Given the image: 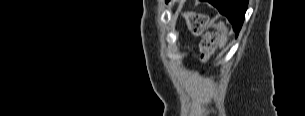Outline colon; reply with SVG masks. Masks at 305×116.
Masks as SVG:
<instances>
[{
	"mask_svg": "<svg viewBox=\"0 0 305 116\" xmlns=\"http://www.w3.org/2000/svg\"><path fill=\"white\" fill-rule=\"evenodd\" d=\"M184 18L191 33L199 37V54L201 61H207L214 52L216 33H206L207 17L196 12H187Z\"/></svg>",
	"mask_w": 305,
	"mask_h": 116,
	"instance_id": "obj_1",
	"label": "colon"
}]
</instances>
